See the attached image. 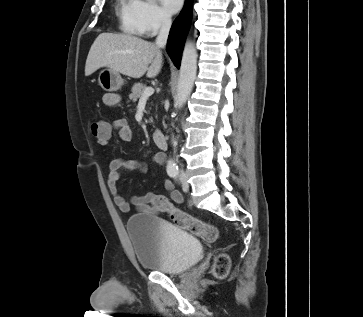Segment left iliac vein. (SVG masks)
<instances>
[{"mask_svg":"<svg viewBox=\"0 0 363 317\" xmlns=\"http://www.w3.org/2000/svg\"><path fill=\"white\" fill-rule=\"evenodd\" d=\"M181 181H182V189H183V191L184 192H187L188 189H189V184H188V182H187L186 177H185L184 174L182 175Z\"/></svg>","mask_w":363,"mask_h":317,"instance_id":"4c4485c4","label":"left iliac vein"}]
</instances>
